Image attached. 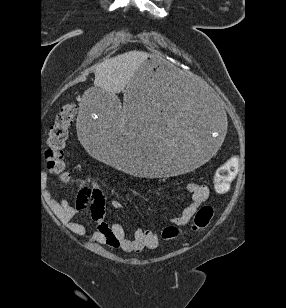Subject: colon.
<instances>
[{
    "label": "colon",
    "mask_w": 286,
    "mask_h": 308,
    "mask_svg": "<svg viewBox=\"0 0 286 308\" xmlns=\"http://www.w3.org/2000/svg\"><path fill=\"white\" fill-rule=\"evenodd\" d=\"M77 106L74 103L64 104L57 114L54 124L50 127L45 152L47 167L60 181L67 182L69 172L65 161V147L67 145L70 128L76 116ZM239 158L233 156L224 162L217 170L214 177V189L217 193H225L229 190L232 181L237 175L239 169ZM213 217V209L210 206H202L198 209L191 230L194 232L204 230ZM182 233L177 227L168 226L162 231V237L165 240H171Z\"/></svg>",
    "instance_id": "1"
}]
</instances>
